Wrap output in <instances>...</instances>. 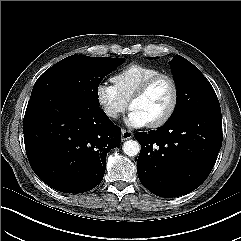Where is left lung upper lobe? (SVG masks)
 Instances as JSON below:
<instances>
[{"label": "left lung upper lobe", "instance_id": "obj_1", "mask_svg": "<svg viewBox=\"0 0 241 241\" xmlns=\"http://www.w3.org/2000/svg\"><path fill=\"white\" fill-rule=\"evenodd\" d=\"M177 86V103L169 120L193 110L221 111L216 93L200 70L180 55L170 61Z\"/></svg>", "mask_w": 241, "mask_h": 241}]
</instances>
